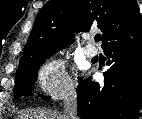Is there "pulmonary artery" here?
Returning <instances> with one entry per match:
<instances>
[{"instance_id":"pulmonary-artery-1","label":"pulmonary artery","mask_w":142,"mask_h":119,"mask_svg":"<svg viewBox=\"0 0 142 119\" xmlns=\"http://www.w3.org/2000/svg\"><path fill=\"white\" fill-rule=\"evenodd\" d=\"M83 50L85 55L89 58L95 57L98 53L97 48L93 45H86Z\"/></svg>"}]
</instances>
